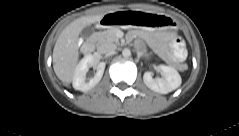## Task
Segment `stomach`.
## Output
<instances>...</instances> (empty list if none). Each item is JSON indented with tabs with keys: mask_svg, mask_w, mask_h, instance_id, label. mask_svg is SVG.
I'll return each instance as SVG.
<instances>
[{
	"mask_svg": "<svg viewBox=\"0 0 239 136\" xmlns=\"http://www.w3.org/2000/svg\"><path fill=\"white\" fill-rule=\"evenodd\" d=\"M115 24L118 26L147 28L152 32L174 28L175 25L172 20L166 16L141 12H116Z\"/></svg>",
	"mask_w": 239,
	"mask_h": 136,
	"instance_id": "1",
	"label": "stomach"
}]
</instances>
